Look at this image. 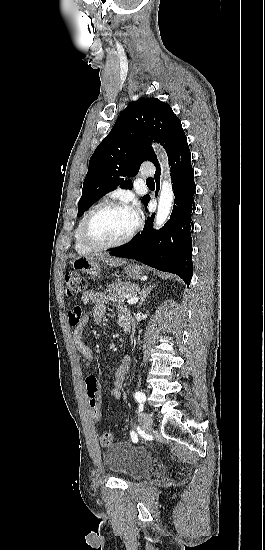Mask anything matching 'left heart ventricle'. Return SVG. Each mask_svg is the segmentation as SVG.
Listing matches in <instances>:
<instances>
[{
    "label": "left heart ventricle",
    "mask_w": 265,
    "mask_h": 550,
    "mask_svg": "<svg viewBox=\"0 0 265 550\" xmlns=\"http://www.w3.org/2000/svg\"><path fill=\"white\" fill-rule=\"evenodd\" d=\"M136 222L130 209H107L91 220L88 233L99 242H113L125 237Z\"/></svg>",
    "instance_id": "b2bd125f"
}]
</instances>
